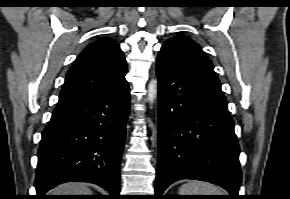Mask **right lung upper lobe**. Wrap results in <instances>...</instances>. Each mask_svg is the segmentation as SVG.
I'll list each match as a JSON object with an SVG mask.
<instances>
[{
    "instance_id": "obj_1",
    "label": "right lung upper lobe",
    "mask_w": 290,
    "mask_h": 199,
    "mask_svg": "<svg viewBox=\"0 0 290 199\" xmlns=\"http://www.w3.org/2000/svg\"><path fill=\"white\" fill-rule=\"evenodd\" d=\"M127 64L111 38L88 45L69 69L57 106L80 102L119 89L127 83Z\"/></svg>"
}]
</instances>
